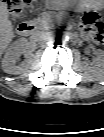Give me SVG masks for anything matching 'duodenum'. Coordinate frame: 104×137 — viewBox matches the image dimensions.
I'll use <instances>...</instances> for the list:
<instances>
[{"label":"duodenum","mask_w":104,"mask_h":137,"mask_svg":"<svg viewBox=\"0 0 104 137\" xmlns=\"http://www.w3.org/2000/svg\"><path fill=\"white\" fill-rule=\"evenodd\" d=\"M35 30V24L33 22L25 21L20 23L18 31L22 36H29Z\"/></svg>","instance_id":"obj_1"}]
</instances>
